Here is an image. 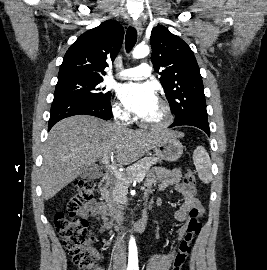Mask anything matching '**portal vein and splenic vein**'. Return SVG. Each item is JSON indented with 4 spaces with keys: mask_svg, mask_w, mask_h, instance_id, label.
<instances>
[{
    "mask_svg": "<svg viewBox=\"0 0 267 270\" xmlns=\"http://www.w3.org/2000/svg\"><path fill=\"white\" fill-rule=\"evenodd\" d=\"M102 163L115 175V177L121 179L122 181L126 183H130L132 181H139L138 178L131 179V178L124 177L122 172L118 171L115 166L109 164V157L107 156L103 157Z\"/></svg>",
    "mask_w": 267,
    "mask_h": 270,
    "instance_id": "1",
    "label": "portal vein and splenic vein"
}]
</instances>
